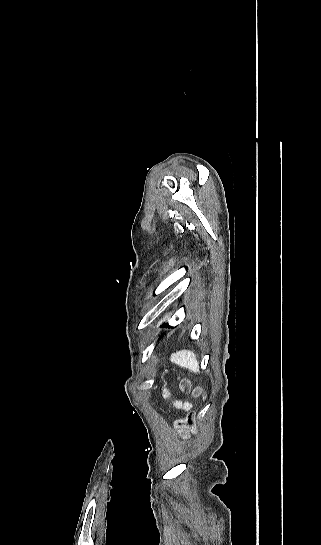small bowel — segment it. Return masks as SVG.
<instances>
[{"label": "small bowel", "mask_w": 321, "mask_h": 545, "mask_svg": "<svg viewBox=\"0 0 321 545\" xmlns=\"http://www.w3.org/2000/svg\"><path fill=\"white\" fill-rule=\"evenodd\" d=\"M164 397H165V398H168V397H169V395H168L167 392H165ZM171 403H172L173 407H175V408H177V409H185V410H187V409L190 408V404L187 403V402L172 401Z\"/></svg>", "instance_id": "c3829d8e"}]
</instances>
